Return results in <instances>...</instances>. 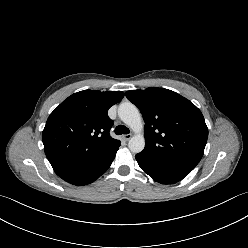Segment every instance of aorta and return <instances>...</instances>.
<instances>
[{
    "label": "aorta",
    "mask_w": 248,
    "mask_h": 248,
    "mask_svg": "<svg viewBox=\"0 0 248 248\" xmlns=\"http://www.w3.org/2000/svg\"><path fill=\"white\" fill-rule=\"evenodd\" d=\"M118 115L136 134L129 140L128 147L133 153L141 152L145 147V139L141 133L143 122L139 110L130 102L119 105Z\"/></svg>",
    "instance_id": "1"
}]
</instances>
